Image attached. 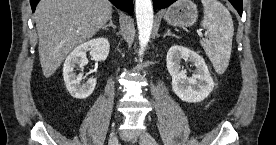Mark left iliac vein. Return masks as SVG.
Returning a JSON list of instances; mask_svg holds the SVG:
<instances>
[{"mask_svg": "<svg viewBox=\"0 0 276 145\" xmlns=\"http://www.w3.org/2000/svg\"><path fill=\"white\" fill-rule=\"evenodd\" d=\"M141 145H157L155 138L148 132H144L140 137Z\"/></svg>", "mask_w": 276, "mask_h": 145, "instance_id": "left-iliac-vein-1", "label": "left iliac vein"}]
</instances>
